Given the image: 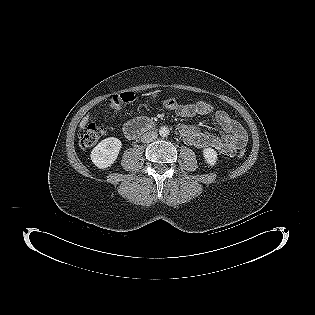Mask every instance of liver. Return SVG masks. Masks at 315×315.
I'll list each match as a JSON object with an SVG mask.
<instances>
[{
    "label": "liver",
    "mask_w": 315,
    "mask_h": 315,
    "mask_svg": "<svg viewBox=\"0 0 315 315\" xmlns=\"http://www.w3.org/2000/svg\"><path fill=\"white\" fill-rule=\"evenodd\" d=\"M88 120H89V116H85L81 122H80V128H84L86 126V124L88 123Z\"/></svg>",
    "instance_id": "6515ba94"
}]
</instances>
